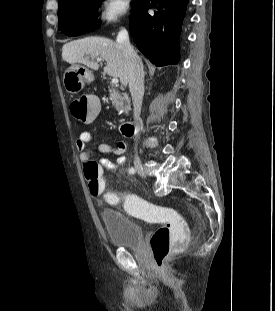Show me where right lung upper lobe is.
Masks as SVG:
<instances>
[{"instance_id": "1", "label": "right lung upper lobe", "mask_w": 275, "mask_h": 311, "mask_svg": "<svg viewBox=\"0 0 275 311\" xmlns=\"http://www.w3.org/2000/svg\"><path fill=\"white\" fill-rule=\"evenodd\" d=\"M66 1H68V0H58V3L60 5L61 3L66 2Z\"/></svg>"}]
</instances>
